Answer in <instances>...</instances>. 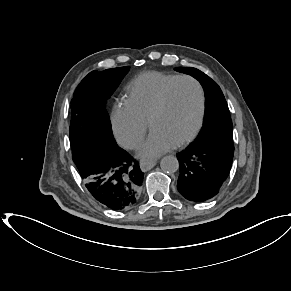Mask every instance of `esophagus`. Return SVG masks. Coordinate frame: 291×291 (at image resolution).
<instances>
[{
	"mask_svg": "<svg viewBox=\"0 0 291 291\" xmlns=\"http://www.w3.org/2000/svg\"><path fill=\"white\" fill-rule=\"evenodd\" d=\"M156 164H157V161L142 162L140 164V168L142 171H148L152 169Z\"/></svg>",
	"mask_w": 291,
	"mask_h": 291,
	"instance_id": "esophagus-1",
	"label": "esophagus"
}]
</instances>
